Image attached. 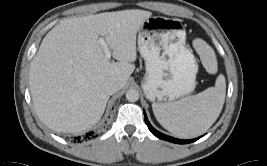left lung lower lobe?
Returning a JSON list of instances; mask_svg holds the SVG:
<instances>
[{
  "label": "left lung lower lobe",
  "mask_w": 267,
  "mask_h": 166,
  "mask_svg": "<svg viewBox=\"0 0 267 166\" xmlns=\"http://www.w3.org/2000/svg\"><path fill=\"white\" fill-rule=\"evenodd\" d=\"M144 117H145V121H146V124L149 128V130L155 135L157 136L158 138L160 139H163V140H166V141H170V142H173V143H178V144H187V143H191V142H194L196 141L197 139L199 138H196V139H192V140H180V139H176V138H173V137H170V136H167L165 134H162L161 132L157 131L156 129H154L151 124L149 123L148 119H147V116H146V113L144 112Z\"/></svg>",
  "instance_id": "obj_1"
}]
</instances>
